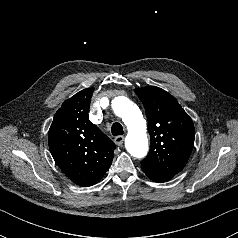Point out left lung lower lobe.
Wrapping results in <instances>:
<instances>
[{"mask_svg":"<svg viewBox=\"0 0 238 238\" xmlns=\"http://www.w3.org/2000/svg\"><path fill=\"white\" fill-rule=\"evenodd\" d=\"M142 170L144 171V173L153 181L157 182V183H162V182H167L169 180H171L174 176H170V175H164V174H160V173H156L148 168L142 167Z\"/></svg>","mask_w":238,"mask_h":238,"instance_id":"left-lung-lower-lobe-1","label":"left lung lower lobe"}]
</instances>
